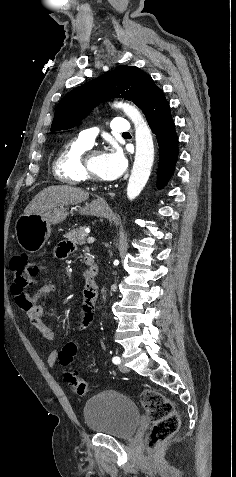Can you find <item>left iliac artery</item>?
<instances>
[{
    "instance_id": "1",
    "label": "left iliac artery",
    "mask_w": 236,
    "mask_h": 477,
    "mask_svg": "<svg viewBox=\"0 0 236 477\" xmlns=\"http://www.w3.org/2000/svg\"><path fill=\"white\" fill-rule=\"evenodd\" d=\"M112 362H113L114 364H120L121 359H120L118 356H115V357H113Z\"/></svg>"
}]
</instances>
